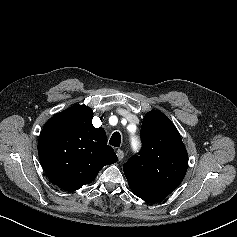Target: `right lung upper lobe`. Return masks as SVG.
Returning a JSON list of instances; mask_svg holds the SVG:
<instances>
[{"mask_svg":"<svg viewBox=\"0 0 237 237\" xmlns=\"http://www.w3.org/2000/svg\"><path fill=\"white\" fill-rule=\"evenodd\" d=\"M93 112L75 105L44 125L38 141L41 165L50 181L74 191L91 183L103 166L117 161L103 128L92 124Z\"/></svg>","mask_w":237,"mask_h":237,"instance_id":"1","label":"right lung upper lobe"}]
</instances>
